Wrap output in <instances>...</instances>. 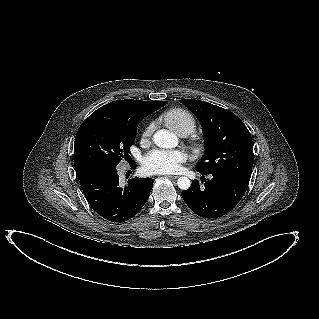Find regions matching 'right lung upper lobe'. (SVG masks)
I'll return each instance as SVG.
<instances>
[{
	"instance_id": "cb5924a9",
	"label": "right lung upper lobe",
	"mask_w": 319,
	"mask_h": 319,
	"mask_svg": "<svg viewBox=\"0 0 319 319\" xmlns=\"http://www.w3.org/2000/svg\"><path fill=\"white\" fill-rule=\"evenodd\" d=\"M166 101L117 100L94 111L86 120L110 118L118 119L137 129V125L152 112L166 105ZM87 173L77 175L78 178Z\"/></svg>"
}]
</instances>
